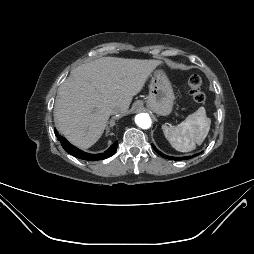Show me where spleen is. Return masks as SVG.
<instances>
[{"mask_svg":"<svg viewBox=\"0 0 254 254\" xmlns=\"http://www.w3.org/2000/svg\"><path fill=\"white\" fill-rule=\"evenodd\" d=\"M211 120L205 108L200 107L176 126L163 125L162 129L171 146L180 152H189L201 145L210 130Z\"/></svg>","mask_w":254,"mask_h":254,"instance_id":"obj_1","label":"spleen"}]
</instances>
